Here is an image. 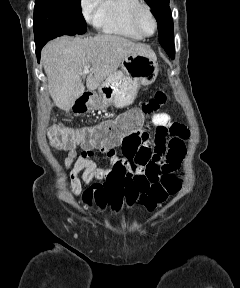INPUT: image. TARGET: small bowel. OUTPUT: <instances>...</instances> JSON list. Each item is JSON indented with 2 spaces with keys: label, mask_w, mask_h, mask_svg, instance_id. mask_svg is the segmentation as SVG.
<instances>
[{
  "label": "small bowel",
  "mask_w": 240,
  "mask_h": 288,
  "mask_svg": "<svg viewBox=\"0 0 240 288\" xmlns=\"http://www.w3.org/2000/svg\"><path fill=\"white\" fill-rule=\"evenodd\" d=\"M151 123L154 133L142 128L136 136L117 142L82 146L80 155L75 148L63 149L67 150L64 167L70 171L72 194L82 192V182L89 184L95 179L104 180L86 189L83 200L89 206L95 202L101 210L110 206L118 211L124 203L133 205L139 195L159 183L163 175L177 170L185 155L189 130L183 124L172 121L167 113L154 114ZM118 146L121 147L122 156L116 152ZM95 149L109 159L108 168L97 166L94 161Z\"/></svg>",
  "instance_id": "c3829d8e"
}]
</instances>
